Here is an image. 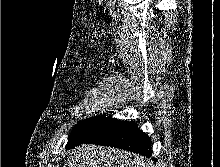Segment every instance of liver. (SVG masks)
Masks as SVG:
<instances>
[{
  "instance_id": "6515ba94",
  "label": "liver",
  "mask_w": 220,
  "mask_h": 167,
  "mask_svg": "<svg viewBox=\"0 0 220 167\" xmlns=\"http://www.w3.org/2000/svg\"><path fill=\"white\" fill-rule=\"evenodd\" d=\"M64 167H149L143 157L111 147L82 144L71 150Z\"/></svg>"
}]
</instances>
